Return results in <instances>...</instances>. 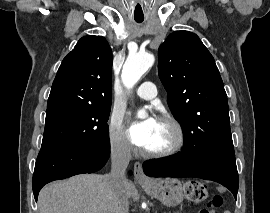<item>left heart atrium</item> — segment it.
I'll return each mask as SVG.
<instances>
[{"mask_svg":"<svg viewBox=\"0 0 270 213\" xmlns=\"http://www.w3.org/2000/svg\"><path fill=\"white\" fill-rule=\"evenodd\" d=\"M157 121L156 117L150 115L144 120L132 122L127 131L130 142L144 149L150 141Z\"/></svg>","mask_w":270,"mask_h":213,"instance_id":"1","label":"left heart atrium"}]
</instances>
